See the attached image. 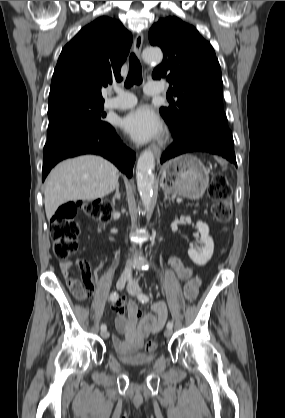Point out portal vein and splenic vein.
<instances>
[{
    "label": "portal vein and splenic vein",
    "instance_id": "18ae733b",
    "mask_svg": "<svg viewBox=\"0 0 285 418\" xmlns=\"http://www.w3.org/2000/svg\"><path fill=\"white\" fill-rule=\"evenodd\" d=\"M176 201H177V203H181L182 202V199L181 198H177Z\"/></svg>",
    "mask_w": 285,
    "mask_h": 418
}]
</instances>
